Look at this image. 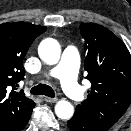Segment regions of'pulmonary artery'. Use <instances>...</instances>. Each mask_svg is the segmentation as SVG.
<instances>
[{"mask_svg": "<svg viewBox=\"0 0 131 131\" xmlns=\"http://www.w3.org/2000/svg\"><path fill=\"white\" fill-rule=\"evenodd\" d=\"M79 54L76 48L68 46L62 53L59 63L53 67L50 74L61 81L64 91L75 101L83 99V92L77 82Z\"/></svg>", "mask_w": 131, "mask_h": 131, "instance_id": "e3ab8cb5", "label": "pulmonary artery"}]
</instances>
